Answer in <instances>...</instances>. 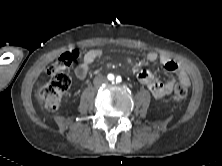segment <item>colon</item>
<instances>
[{"label":"colon","instance_id":"1","mask_svg":"<svg viewBox=\"0 0 222 166\" xmlns=\"http://www.w3.org/2000/svg\"><path fill=\"white\" fill-rule=\"evenodd\" d=\"M77 50H71L61 54L56 61L48 67L50 80L41 85L38 97L48 110H56L61 105L63 95L70 87V78L64 73L79 58ZM188 95V88L183 84H177L174 88L173 99L181 103Z\"/></svg>","mask_w":222,"mask_h":166}]
</instances>
